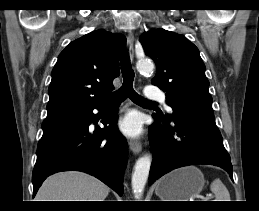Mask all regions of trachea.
Returning <instances> with one entry per match:
<instances>
[{"label":"trachea","mask_w":259,"mask_h":211,"mask_svg":"<svg viewBox=\"0 0 259 211\" xmlns=\"http://www.w3.org/2000/svg\"><path fill=\"white\" fill-rule=\"evenodd\" d=\"M122 77L123 83L120 89H118L113 95L114 102H121L129 97L133 102L138 104H156L154 101H149L137 94L133 89L134 71L132 69L128 54L122 58Z\"/></svg>","instance_id":"obj_1"}]
</instances>
